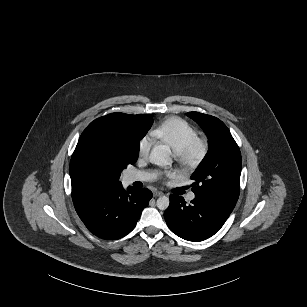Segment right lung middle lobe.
<instances>
[{
	"mask_svg": "<svg viewBox=\"0 0 307 307\" xmlns=\"http://www.w3.org/2000/svg\"><path fill=\"white\" fill-rule=\"evenodd\" d=\"M91 159L96 162H109L120 175L121 171L128 164H134L137 161L139 148L132 152H119L106 142L102 137L92 140L89 150Z\"/></svg>",
	"mask_w": 307,
	"mask_h": 307,
	"instance_id": "1",
	"label": "right lung middle lobe"
}]
</instances>
